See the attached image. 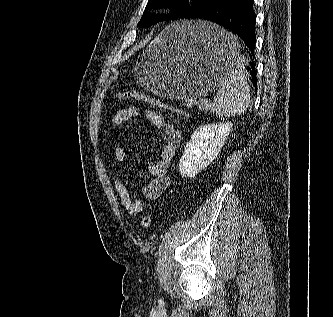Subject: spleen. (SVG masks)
Masks as SVG:
<instances>
[{
    "mask_svg": "<svg viewBox=\"0 0 333 317\" xmlns=\"http://www.w3.org/2000/svg\"><path fill=\"white\" fill-rule=\"evenodd\" d=\"M218 29L217 43L229 55L228 72L220 84L217 95L210 107L220 117L244 113L250 102V88L247 82V70L243 56L239 54L236 38L223 28Z\"/></svg>",
    "mask_w": 333,
    "mask_h": 317,
    "instance_id": "spleen-1",
    "label": "spleen"
}]
</instances>
